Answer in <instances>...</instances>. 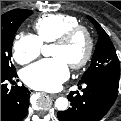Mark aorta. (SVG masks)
I'll return each mask as SVG.
<instances>
[{
    "mask_svg": "<svg viewBox=\"0 0 121 121\" xmlns=\"http://www.w3.org/2000/svg\"><path fill=\"white\" fill-rule=\"evenodd\" d=\"M41 53L43 56L48 57L52 54V46L51 45H43L41 47ZM69 105V101L67 98L65 97H59L56 101H55V107L59 110V111H65L68 108Z\"/></svg>",
    "mask_w": 121,
    "mask_h": 121,
    "instance_id": "762f6f07",
    "label": "aorta"
}]
</instances>
